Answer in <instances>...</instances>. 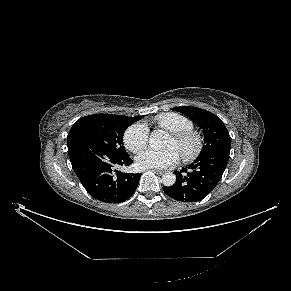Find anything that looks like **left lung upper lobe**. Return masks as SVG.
<instances>
[{
    "instance_id": "1",
    "label": "left lung upper lobe",
    "mask_w": 291,
    "mask_h": 291,
    "mask_svg": "<svg viewBox=\"0 0 291 291\" xmlns=\"http://www.w3.org/2000/svg\"><path fill=\"white\" fill-rule=\"evenodd\" d=\"M172 109L192 119L203 130L204 146L198 158L208 156L220 149L230 150L231 138L219 117L197 107L179 106Z\"/></svg>"
}]
</instances>
